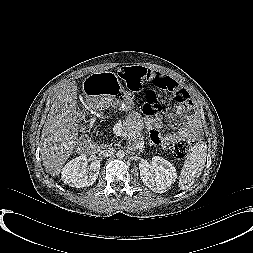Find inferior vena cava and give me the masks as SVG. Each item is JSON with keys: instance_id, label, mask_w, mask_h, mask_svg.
Instances as JSON below:
<instances>
[{"instance_id": "inferior-vena-cava-1", "label": "inferior vena cava", "mask_w": 253, "mask_h": 253, "mask_svg": "<svg viewBox=\"0 0 253 253\" xmlns=\"http://www.w3.org/2000/svg\"><path fill=\"white\" fill-rule=\"evenodd\" d=\"M112 155H113V150L112 149L103 151V156H105V157H110Z\"/></svg>"}]
</instances>
